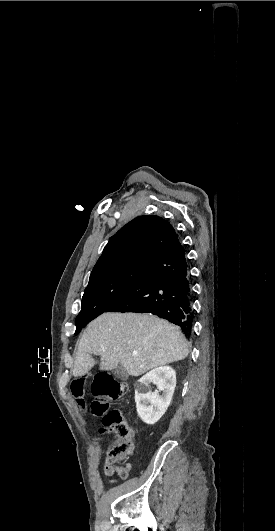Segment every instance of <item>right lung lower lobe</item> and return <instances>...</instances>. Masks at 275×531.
<instances>
[{
	"mask_svg": "<svg viewBox=\"0 0 275 531\" xmlns=\"http://www.w3.org/2000/svg\"><path fill=\"white\" fill-rule=\"evenodd\" d=\"M106 312L154 314L179 326L185 336L191 335V282L185 251L177 234Z\"/></svg>",
	"mask_w": 275,
	"mask_h": 531,
	"instance_id": "1",
	"label": "right lung lower lobe"
}]
</instances>
